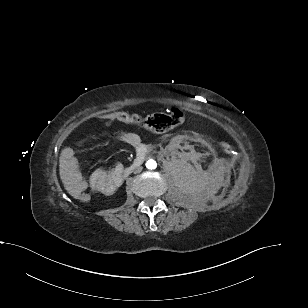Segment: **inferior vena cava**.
<instances>
[{
  "label": "inferior vena cava",
  "instance_id": "602c4592",
  "mask_svg": "<svg viewBox=\"0 0 308 308\" xmlns=\"http://www.w3.org/2000/svg\"><path fill=\"white\" fill-rule=\"evenodd\" d=\"M141 170H142V168H141V167H137V168L135 169V173H140V172H141Z\"/></svg>",
  "mask_w": 308,
  "mask_h": 308
}]
</instances>
